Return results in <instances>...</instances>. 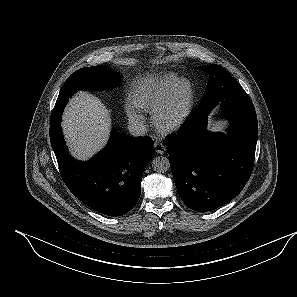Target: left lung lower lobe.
Masks as SVG:
<instances>
[{
  "label": "left lung lower lobe",
  "instance_id": "1",
  "mask_svg": "<svg viewBox=\"0 0 297 297\" xmlns=\"http://www.w3.org/2000/svg\"><path fill=\"white\" fill-rule=\"evenodd\" d=\"M216 105L194 111L177 133L166 138L178 194L199 212L219 208L236 197L254 164L258 123L250 98L221 101L223 115L231 121L227 134L206 130Z\"/></svg>",
  "mask_w": 297,
  "mask_h": 297
}]
</instances>
